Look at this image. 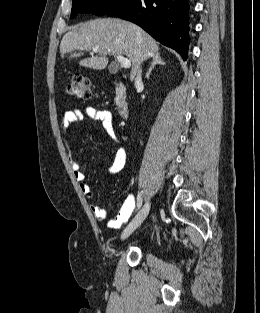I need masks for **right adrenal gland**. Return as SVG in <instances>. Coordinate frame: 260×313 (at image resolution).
<instances>
[{
    "label": "right adrenal gland",
    "mask_w": 260,
    "mask_h": 313,
    "mask_svg": "<svg viewBox=\"0 0 260 313\" xmlns=\"http://www.w3.org/2000/svg\"><path fill=\"white\" fill-rule=\"evenodd\" d=\"M166 64L162 58H161V55L160 53H157L155 54L153 57H152V62H151V67L149 68L148 72L146 73V78H149L150 74H151V71L152 69L155 67V65H164Z\"/></svg>",
    "instance_id": "obj_1"
}]
</instances>
